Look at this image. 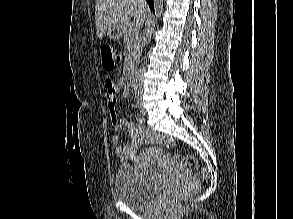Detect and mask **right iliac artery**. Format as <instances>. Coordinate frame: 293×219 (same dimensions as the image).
Segmentation results:
<instances>
[{
	"mask_svg": "<svg viewBox=\"0 0 293 219\" xmlns=\"http://www.w3.org/2000/svg\"><path fill=\"white\" fill-rule=\"evenodd\" d=\"M137 121H139L140 123H143L144 122V117L140 114L137 115Z\"/></svg>",
	"mask_w": 293,
	"mask_h": 219,
	"instance_id": "82829eb1",
	"label": "right iliac artery"
}]
</instances>
